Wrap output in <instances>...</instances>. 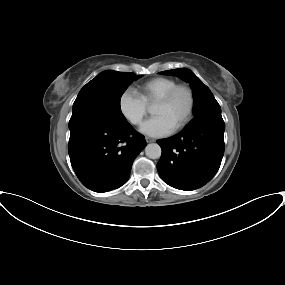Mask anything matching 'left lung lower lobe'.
Masks as SVG:
<instances>
[{
	"mask_svg": "<svg viewBox=\"0 0 285 285\" xmlns=\"http://www.w3.org/2000/svg\"><path fill=\"white\" fill-rule=\"evenodd\" d=\"M223 119H203L167 139L158 140L160 177L181 190H195L218 171L224 154Z\"/></svg>",
	"mask_w": 285,
	"mask_h": 285,
	"instance_id": "obj_1",
	"label": "left lung lower lobe"
}]
</instances>
